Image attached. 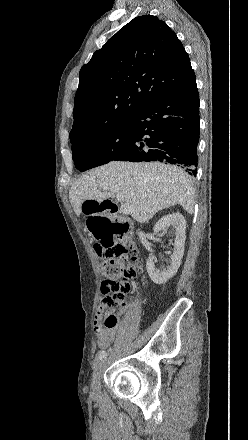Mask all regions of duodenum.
<instances>
[{
    "mask_svg": "<svg viewBox=\"0 0 248 440\" xmlns=\"http://www.w3.org/2000/svg\"><path fill=\"white\" fill-rule=\"evenodd\" d=\"M102 204H104L105 209H107V211H112L114 216H116L117 205L113 201L104 200V201H102ZM115 228H116V231L118 234H125L128 230V223L125 220H122V219L120 220L117 218Z\"/></svg>",
    "mask_w": 248,
    "mask_h": 440,
    "instance_id": "obj_1",
    "label": "duodenum"
}]
</instances>
